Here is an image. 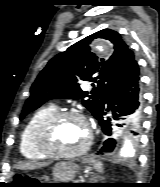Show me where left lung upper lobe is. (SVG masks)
Segmentation results:
<instances>
[{"mask_svg": "<svg viewBox=\"0 0 160 187\" xmlns=\"http://www.w3.org/2000/svg\"><path fill=\"white\" fill-rule=\"evenodd\" d=\"M95 38L113 43L115 51L108 60H99L90 51L89 44ZM134 60L132 50L116 31L103 29L87 36L48 62L31 87L20 119L54 98H82V104L96 117L106 93L125 77ZM83 81L94 82L91 92L81 89ZM122 126L134 136L139 134V124L126 120Z\"/></svg>", "mask_w": 160, "mask_h": 187, "instance_id": "1", "label": "left lung upper lobe"}]
</instances>
